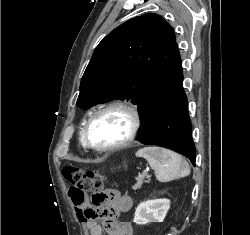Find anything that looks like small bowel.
<instances>
[{"instance_id":"1","label":"small bowel","mask_w":250,"mask_h":235,"mask_svg":"<svg viewBox=\"0 0 250 235\" xmlns=\"http://www.w3.org/2000/svg\"><path fill=\"white\" fill-rule=\"evenodd\" d=\"M106 194L107 200L97 207L87 201L83 205L75 206L76 215L85 224L88 235H132L133 230L129 222L113 218L116 214L131 209L132 198L115 190H109ZM92 211H97L99 216L91 218Z\"/></svg>"}]
</instances>
